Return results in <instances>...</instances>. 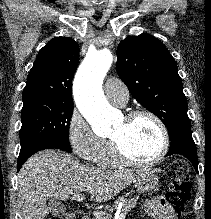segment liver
<instances>
[{
	"instance_id": "liver-1",
	"label": "liver",
	"mask_w": 211,
	"mask_h": 219,
	"mask_svg": "<svg viewBox=\"0 0 211 219\" xmlns=\"http://www.w3.org/2000/svg\"><path fill=\"white\" fill-rule=\"evenodd\" d=\"M142 170H111L78 163L58 150H44L29 158L18 174V203L23 219H44L50 198L66 201L88 191L91 201L107 202L128 187Z\"/></svg>"
}]
</instances>
